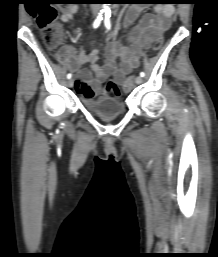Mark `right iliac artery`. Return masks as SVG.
<instances>
[{"label": "right iliac artery", "instance_id": "right-iliac-artery-1", "mask_svg": "<svg viewBox=\"0 0 218 257\" xmlns=\"http://www.w3.org/2000/svg\"><path fill=\"white\" fill-rule=\"evenodd\" d=\"M101 20H102V13H100L98 15V17L96 18V20L94 21L93 23V28H97L99 27L100 23H101ZM67 78L70 79L71 78V73H68L67 74Z\"/></svg>", "mask_w": 218, "mask_h": 257}]
</instances>
